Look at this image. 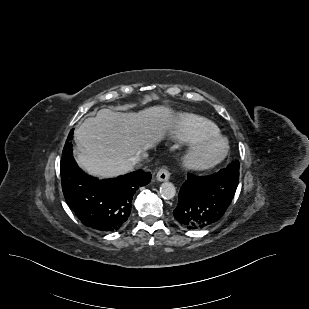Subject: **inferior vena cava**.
<instances>
[{
    "mask_svg": "<svg viewBox=\"0 0 309 309\" xmlns=\"http://www.w3.org/2000/svg\"><path fill=\"white\" fill-rule=\"evenodd\" d=\"M141 160H142L141 155H136V156H133L129 159V163L131 165H137Z\"/></svg>",
    "mask_w": 309,
    "mask_h": 309,
    "instance_id": "1",
    "label": "inferior vena cava"
}]
</instances>
